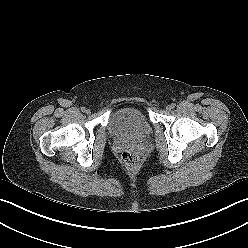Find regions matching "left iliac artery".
Segmentation results:
<instances>
[{"instance_id": "left-iliac-artery-1", "label": "left iliac artery", "mask_w": 248, "mask_h": 248, "mask_svg": "<svg viewBox=\"0 0 248 248\" xmlns=\"http://www.w3.org/2000/svg\"><path fill=\"white\" fill-rule=\"evenodd\" d=\"M175 106H176L175 103H172V104H171L172 109L175 108Z\"/></svg>"}]
</instances>
